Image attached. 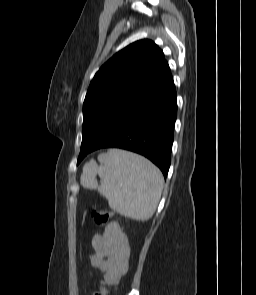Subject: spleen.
<instances>
[{"label":"spleen","instance_id":"3e777b00","mask_svg":"<svg viewBox=\"0 0 256 295\" xmlns=\"http://www.w3.org/2000/svg\"><path fill=\"white\" fill-rule=\"evenodd\" d=\"M98 161L99 166L94 161L84 166L82 186L98 190L110 208L121 215L141 221L151 218L163 190L161 171L146 158L119 149L99 154Z\"/></svg>","mask_w":256,"mask_h":295}]
</instances>
